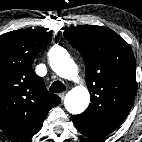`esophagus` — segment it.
Listing matches in <instances>:
<instances>
[{
	"label": "esophagus",
	"instance_id": "1",
	"mask_svg": "<svg viewBox=\"0 0 142 142\" xmlns=\"http://www.w3.org/2000/svg\"><path fill=\"white\" fill-rule=\"evenodd\" d=\"M65 95H66V92H62V93L59 94L62 101L64 100Z\"/></svg>",
	"mask_w": 142,
	"mask_h": 142
}]
</instances>
